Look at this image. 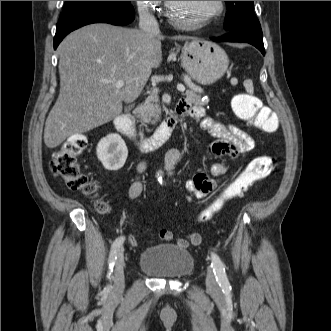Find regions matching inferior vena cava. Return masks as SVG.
Wrapping results in <instances>:
<instances>
[{"label": "inferior vena cava", "instance_id": "1", "mask_svg": "<svg viewBox=\"0 0 331 331\" xmlns=\"http://www.w3.org/2000/svg\"><path fill=\"white\" fill-rule=\"evenodd\" d=\"M139 27L144 32L151 35H159L160 29L158 22L154 15H152L147 9L140 12V22Z\"/></svg>", "mask_w": 331, "mask_h": 331}]
</instances>
